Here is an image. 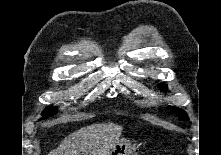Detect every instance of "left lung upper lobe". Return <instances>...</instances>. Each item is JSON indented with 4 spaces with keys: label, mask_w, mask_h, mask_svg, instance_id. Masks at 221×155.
Returning <instances> with one entry per match:
<instances>
[{
    "label": "left lung upper lobe",
    "mask_w": 221,
    "mask_h": 155,
    "mask_svg": "<svg viewBox=\"0 0 221 155\" xmlns=\"http://www.w3.org/2000/svg\"><path fill=\"white\" fill-rule=\"evenodd\" d=\"M161 89L166 90L165 85H162ZM170 109L172 110L173 113H175L176 115L179 116L180 120H188V116H187L185 111H183L181 109H178V108H175V107H170Z\"/></svg>",
    "instance_id": "1"
}]
</instances>
